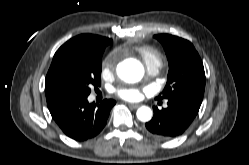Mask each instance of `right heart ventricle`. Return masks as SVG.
<instances>
[{"label": "right heart ventricle", "instance_id": "e07e8e85", "mask_svg": "<svg viewBox=\"0 0 249 165\" xmlns=\"http://www.w3.org/2000/svg\"><path fill=\"white\" fill-rule=\"evenodd\" d=\"M133 51L142 59L147 68L155 67L158 69L163 63L162 54L152 46H134Z\"/></svg>", "mask_w": 249, "mask_h": 165}]
</instances>
